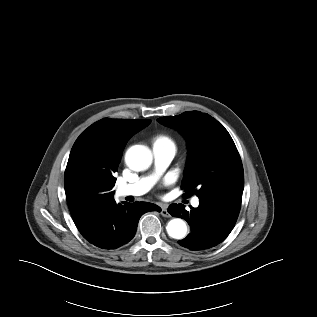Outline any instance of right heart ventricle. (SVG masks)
<instances>
[{"mask_svg": "<svg viewBox=\"0 0 317 317\" xmlns=\"http://www.w3.org/2000/svg\"><path fill=\"white\" fill-rule=\"evenodd\" d=\"M154 143H159V144H164V145H169L174 147V142L172 139L168 136L165 135H160L155 138Z\"/></svg>", "mask_w": 317, "mask_h": 317, "instance_id": "right-heart-ventricle-1", "label": "right heart ventricle"}]
</instances>
